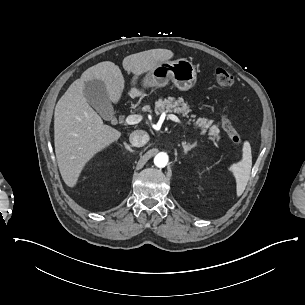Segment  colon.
Instances as JSON below:
<instances>
[{
	"instance_id": "1",
	"label": "colon",
	"mask_w": 305,
	"mask_h": 305,
	"mask_svg": "<svg viewBox=\"0 0 305 305\" xmlns=\"http://www.w3.org/2000/svg\"><path fill=\"white\" fill-rule=\"evenodd\" d=\"M215 80L219 87H229L233 83V77L231 73L223 68H219L215 72ZM221 126L226 135L234 142L240 143L243 141V135L236 129L232 121L226 114H222L220 117Z\"/></svg>"
}]
</instances>
